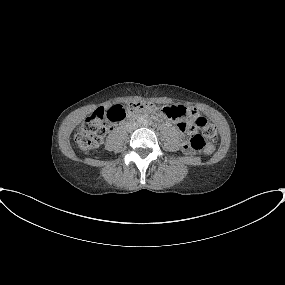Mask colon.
Returning a JSON list of instances; mask_svg holds the SVG:
<instances>
[{
  "label": "colon",
  "mask_w": 285,
  "mask_h": 285,
  "mask_svg": "<svg viewBox=\"0 0 285 285\" xmlns=\"http://www.w3.org/2000/svg\"><path fill=\"white\" fill-rule=\"evenodd\" d=\"M157 109V106L150 101L116 104L109 109L99 107L84 120L75 134V141L82 151L91 150L101 143L109 125L123 121L132 112L155 111ZM161 110L172 121L181 120L187 113V110L181 105H169ZM194 126H203L202 133L192 132L191 125L188 122L181 123V128L186 132L183 142L184 150L187 152L202 151L207 154L212 153L214 147L207 139L212 140L216 137L217 131L215 127L206 125L202 117L194 122Z\"/></svg>",
  "instance_id": "5ec220e1"
}]
</instances>
